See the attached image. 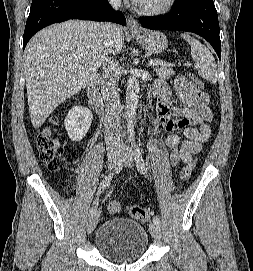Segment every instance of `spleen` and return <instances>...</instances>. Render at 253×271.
<instances>
[{"mask_svg":"<svg viewBox=\"0 0 253 271\" xmlns=\"http://www.w3.org/2000/svg\"><path fill=\"white\" fill-rule=\"evenodd\" d=\"M181 37L190 44L191 56L199 67L198 74L211 83H216L218 79L217 65L209 49L189 34H181Z\"/></svg>","mask_w":253,"mask_h":271,"instance_id":"1","label":"spleen"}]
</instances>
